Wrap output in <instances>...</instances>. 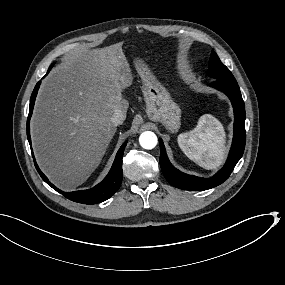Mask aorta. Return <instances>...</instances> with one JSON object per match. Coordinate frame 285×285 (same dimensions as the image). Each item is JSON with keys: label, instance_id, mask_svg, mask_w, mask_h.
I'll return each instance as SVG.
<instances>
[{"label": "aorta", "instance_id": "1", "mask_svg": "<svg viewBox=\"0 0 285 285\" xmlns=\"http://www.w3.org/2000/svg\"><path fill=\"white\" fill-rule=\"evenodd\" d=\"M140 145L144 149H153L157 145V136L151 131L143 132L139 137Z\"/></svg>", "mask_w": 285, "mask_h": 285}]
</instances>
